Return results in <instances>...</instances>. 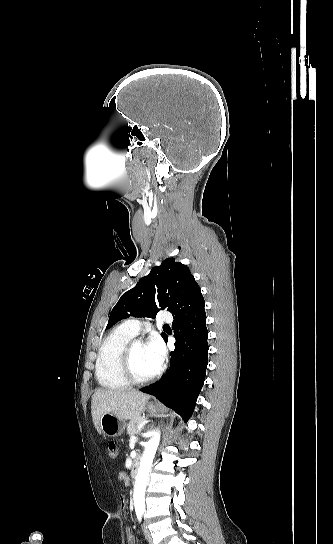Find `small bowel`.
<instances>
[{"mask_svg":"<svg viewBox=\"0 0 333 544\" xmlns=\"http://www.w3.org/2000/svg\"><path fill=\"white\" fill-rule=\"evenodd\" d=\"M118 478H119V480L121 482L128 485L129 479H128L127 475L124 472H121L119 474ZM120 505H121V508L123 510L126 509L127 501H126V499L124 497L120 498ZM126 539H127V544H135V537H134V535H133V533H132V531L130 529L126 530Z\"/></svg>","mask_w":333,"mask_h":544,"instance_id":"1","label":"small bowel"}]
</instances>
